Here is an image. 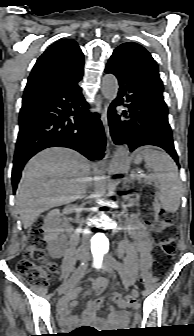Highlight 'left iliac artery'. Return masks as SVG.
I'll use <instances>...</instances> for the list:
<instances>
[{
	"label": "left iliac artery",
	"instance_id": "obj_1",
	"mask_svg": "<svg viewBox=\"0 0 194 336\" xmlns=\"http://www.w3.org/2000/svg\"><path fill=\"white\" fill-rule=\"evenodd\" d=\"M119 270V273L121 274L122 280L126 284H131V281L127 278L125 272L123 271L121 265L118 266L117 268Z\"/></svg>",
	"mask_w": 194,
	"mask_h": 336
}]
</instances>
